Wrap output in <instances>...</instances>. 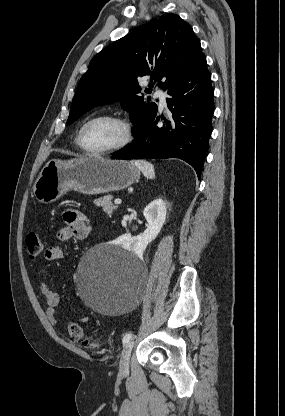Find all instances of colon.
I'll return each instance as SVG.
<instances>
[{"instance_id": "colon-1", "label": "colon", "mask_w": 285, "mask_h": 416, "mask_svg": "<svg viewBox=\"0 0 285 416\" xmlns=\"http://www.w3.org/2000/svg\"><path fill=\"white\" fill-rule=\"evenodd\" d=\"M44 243L40 235L36 233H30L26 237V249L30 259H36L42 252ZM68 334L70 338L83 345H92V340L84 333L82 327L71 322L68 325Z\"/></svg>"}]
</instances>
